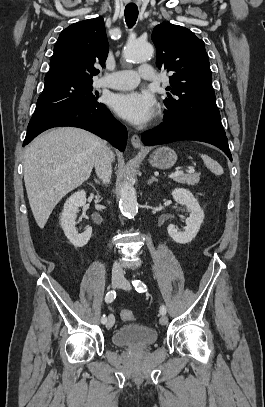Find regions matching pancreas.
<instances>
[{"instance_id":"pancreas-1","label":"pancreas","mask_w":265,"mask_h":407,"mask_svg":"<svg viewBox=\"0 0 265 407\" xmlns=\"http://www.w3.org/2000/svg\"><path fill=\"white\" fill-rule=\"evenodd\" d=\"M174 181L187 185H195L200 180V173L183 174L173 178Z\"/></svg>"}]
</instances>
